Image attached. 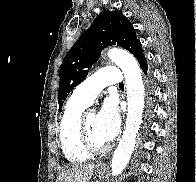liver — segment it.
Instances as JSON below:
<instances>
[{"label": "liver", "instance_id": "1", "mask_svg": "<svg viewBox=\"0 0 196 182\" xmlns=\"http://www.w3.org/2000/svg\"><path fill=\"white\" fill-rule=\"evenodd\" d=\"M95 164H84L62 171L56 182H88L94 172Z\"/></svg>", "mask_w": 196, "mask_h": 182}]
</instances>
